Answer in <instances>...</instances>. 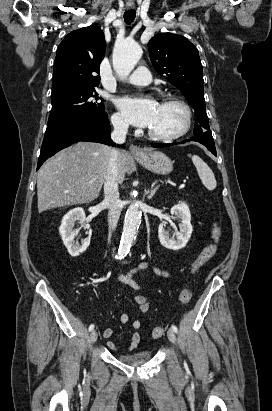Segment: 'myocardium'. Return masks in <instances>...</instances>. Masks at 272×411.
<instances>
[{"mask_svg": "<svg viewBox=\"0 0 272 411\" xmlns=\"http://www.w3.org/2000/svg\"><path fill=\"white\" fill-rule=\"evenodd\" d=\"M162 103H171L174 105L179 106L185 115V121L184 124L182 126V128L173 134H169V135H161L158 133L153 132L151 129L148 130V135L154 139V140H158V141H163V142H170V141H175L181 137H183L191 128L192 125V111L191 108L189 107V105L181 100L178 97L175 96H165L162 100Z\"/></svg>", "mask_w": 272, "mask_h": 411, "instance_id": "myocardium-1", "label": "myocardium"}]
</instances>
